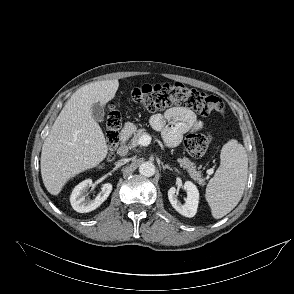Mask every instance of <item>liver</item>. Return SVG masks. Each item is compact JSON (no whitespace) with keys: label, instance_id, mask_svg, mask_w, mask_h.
Segmentation results:
<instances>
[{"label":"liver","instance_id":"liver-1","mask_svg":"<svg viewBox=\"0 0 294 294\" xmlns=\"http://www.w3.org/2000/svg\"><path fill=\"white\" fill-rule=\"evenodd\" d=\"M117 79L82 86L67 101L56 118L41 152L44 186L58 195L76 175L96 167L108 154L102 129L92 116V105H106L115 97Z\"/></svg>","mask_w":294,"mask_h":294}]
</instances>
